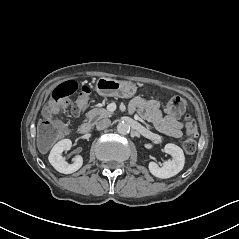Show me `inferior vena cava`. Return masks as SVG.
Returning a JSON list of instances; mask_svg holds the SVG:
<instances>
[{
  "label": "inferior vena cava",
  "mask_w": 239,
  "mask_h": 239,
  "mask_svg": "<svg viewBox=\"0 0 239 239\" xmlns=\"http://www.w3.org/2000/svg\"><path fill=\"white\" fill-rule=\"evenodd\" d=\"M110 125H111V120L108 118H105V119H102L97 122L96 128L98 130H104V129L108 128Z\"/></svg>",
  "instance_id": "602c4592"
}]
</instances>
